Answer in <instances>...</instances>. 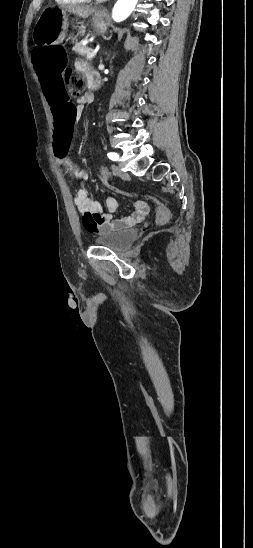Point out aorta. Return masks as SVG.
<instances>
[{"mask_svg": "<svg viewBox=\"0 0 253 548\" xmlns=\"http://www.w3.org/2000/svg\"><path fill=\"white\" fill-rule=\"evenodd\" d=\"M138 0H118L112 10V18L115 22L124 21L134 10Z\"/></svg>", "mask_w": 253, "mask_h": 548, "instance_id": "aorta-1", "label": "aorta"}]
</instances>
